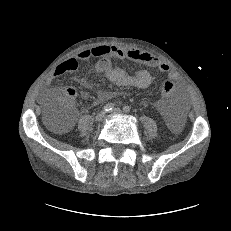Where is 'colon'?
Instances as JSON below:
<instances>
[{"label":"colon","mask_w":231,"mask_h":231,"mask_svg":"<svg viewBox=\"0 0 231 231\" xmlns=\"http://www.w3.org/2000/svg\"><path fill=\"white\" fill-rule=\"evenodd\" d=\"M161 91L167 98H174L178 94V86L172 80H166ZM76 94L73 88H67L62 94L54 96L50 99L47 105V119L52 125H59L61 122H66L73 116L69 111L68 102L65 99H72Z\"/></svg>","instance_id":"5ec220e1"}]
</instances>
